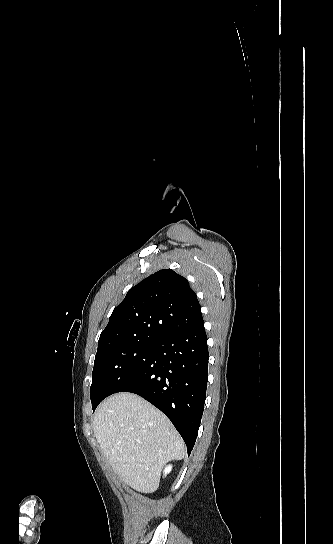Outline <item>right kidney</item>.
<instances>
[{
  "mask_svg": "<svg viewBox=\"0 0 333 544\" xmlns=\"http://www.w3.org/2000/svg\"><path fill=\"white\" fill-rule=\"evenodd\" d=\"M172 467L169 465L167 467H165V470H164V475H166L167 473H169L171 471Z\"/></svg>",
  "mask_w": 333,
  "mask_h": 544,
  "instance_id": "right-kidney-1",
  "label": "right kidney"
}]
</instances>
